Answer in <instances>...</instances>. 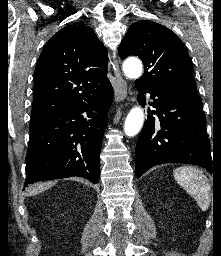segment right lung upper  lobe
I'll use <instances>...</instances> for the list:
<instances>
[{
	"label": "right lung upper lobe",
	"mask_w": 221,
	"mask_h": 256,
	"mask_svg": "<svg viewBox=\"0 0 221 256\" xmlns=\"http://www.w3.org/2000/svg\"><path fill=\"white\" fill-rule=\"evenodd\" d=\"M107 62L92 28L74 24L57 32L36 65L31 120L102 93L111 86Z\"/></svg>",
	"instance_id": "obj_1"
}]
</instances>
